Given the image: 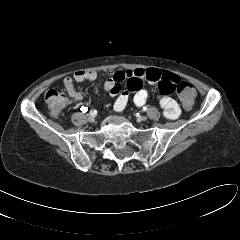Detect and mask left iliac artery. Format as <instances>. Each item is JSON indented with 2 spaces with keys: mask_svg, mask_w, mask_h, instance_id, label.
Listing matches in <instances>:
<instances>
[{
  "mask_svg": "<svg viewBox=\"0 0 240 240\" xmlns=\"http://www.w3.org/2000/svg\"><path fill=\"white\" fill-rule=\"evenodd\" d=\"M148 110V108L147 107H143V111H147Z\"/></svg>",
  "mask_w": 240,
  "mask_h": 240,
  "instance_id": "obj_1",
  "label": "left iliac artery"
}]
</instances>
